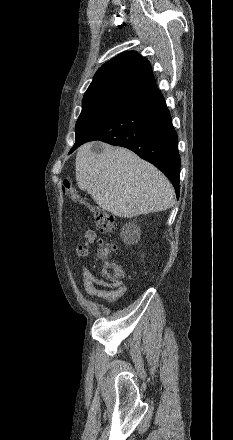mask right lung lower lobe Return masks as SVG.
Masks as SVG:
<instances>
[{
	"mask_svg": "<svg viewBox=\"0 0 233 440\" xmlns=\"http://www.w3.org/2000/svg\"><path fill=\"white\" fill-rule=\"evenodd\" d=\"M93 140L126 147L149 161L171 180L179 197L177 133L159 89L155 88L126 103L103 125L75 144L70 153Z\"/></svg>",
	"mask_w": 233,
	"mask_h": 440,
	"instance_id": "1",
	"label": "right lung lower lobe"
}]
</instances>
